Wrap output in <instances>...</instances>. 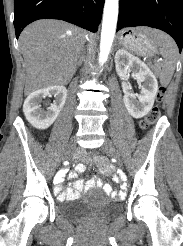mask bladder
Here are the masks:
<instances>
[{
    "label": "bladder",
    "instance_id": "1",
    "mask_svg": "<svg viewBox=\"0 0 183 246\" xmlns=\"http://www.w3.org/2000/svg\"><path fill=\"white\" fill-rule=\"evenodd\" d=\"M121 205L93 190L88 196L64 204L60 208L62 215L72 220H83L90 217L108 218L117 214Z\"/></svg>",
    "mask_w": 183,
    "mask_h": 246
}]
</instances>
